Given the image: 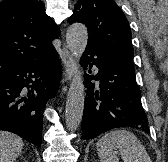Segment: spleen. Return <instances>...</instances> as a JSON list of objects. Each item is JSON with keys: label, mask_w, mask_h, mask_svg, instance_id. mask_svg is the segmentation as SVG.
I'll use <instances>...</instances> for the list:
<instances>
[{"label": "spleen", "mask_w": 168, "mask_h": 162, "mask_svg": "<svg viewBox=\"0 0 168 162\" xmlns=\"http://www.w3.org/2000/svg\"><path fill=\"white\" fill-rule=\"evenodd\" d=\"M96 147L100 162H119L117 150L124 162H152L137 137L124 129L106 133Z\"/></svg>", "instance_id": "1"}]
</instances>
